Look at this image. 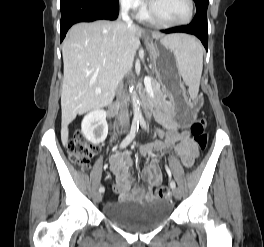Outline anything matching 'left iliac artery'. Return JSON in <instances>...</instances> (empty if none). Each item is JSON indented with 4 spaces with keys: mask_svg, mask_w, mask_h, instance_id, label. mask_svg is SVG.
<instances>
[{
    "mask_svg": "<svg viewBox=\"0 0 264 247\" xmlns=\"http://www.w3.org/2000/svg\"><path fill=\"white\" fill-rule=\"evenodd\" d=\"M141 126H142V128H144V129L147 128V126H146V122H145L144 120H141ZM166 170H167V172L171 175L170 169H169L168 167H166ZM170 187H171L172 189H174V188L176 187V184H175V182H174L173 180L170 182Z\"/></svg>",
    "mask_w": 264,
    "mask_h": 247,
    "instance_id": "44dca946",
    "label": "left iliac artery"
}]
</instances>
